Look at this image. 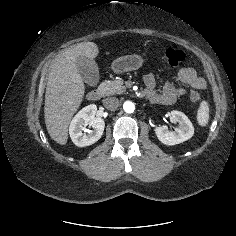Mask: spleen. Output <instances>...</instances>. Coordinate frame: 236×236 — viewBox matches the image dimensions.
<instances>
[{"instance_id": "1", "label": "spleen", "mask_w": 236, "mask_h": 236, "mask_svg": "<svg viewBox=\"0 0 236 236\" xmlns=\"http://www.w3.org/2000/svg\"><path fill=\"white\" fill-rule=\"evenodd\" d=\"M197 121L199 125L206 126L209 121V107L206 101L200 103V107L197 112Z\"/></svg>"}]
</instances>
